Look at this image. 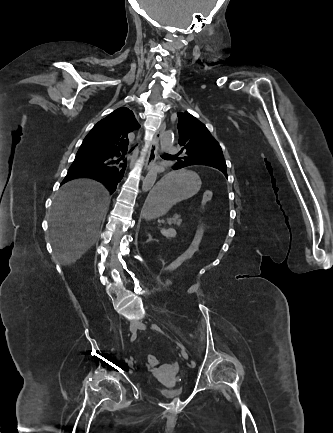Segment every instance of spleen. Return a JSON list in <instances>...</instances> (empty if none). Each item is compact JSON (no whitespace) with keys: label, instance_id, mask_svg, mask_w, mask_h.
<instances>
[{"label":"spleen","instance_id":"obj_1","mask_svg":"<svg viewBox=\"0 0 333 433\" xmlns=\"http://www.w3.org/2000/svg\"><path fill=\"white\" fill-rule=\"evenodd\" d=\"M168 176H173V175H168ZM158 183H159V182H158ZM198 189H199V188H198ZM161 233H162L163 235H165L166 237H173V236L176 235L175 232L171 231V229H169V230H161Z\"/></svg>","mask_w":333,"mask_h":433}]
</instances>
